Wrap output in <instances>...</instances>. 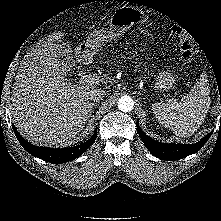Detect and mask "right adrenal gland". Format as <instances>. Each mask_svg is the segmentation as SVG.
Returning <instances> with one entry per match:
<instances>
[{"label":"right adrenal gland","instance_id":"obj_1","mask_svg":"<svg viewBox=\"0 0 221 221\" xmlns=\"http://www.w3.org/2000/svg\"><path fill=\"white\" fill-rule=\"evenodd\" d=\"M96 105V102H90L89 103V115H88V118L91 117L92 113H93V107Z\"/></svg>","mask_w":221,"mask_h":221}]
</instances>
